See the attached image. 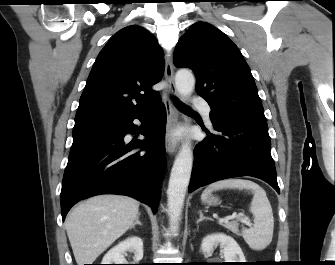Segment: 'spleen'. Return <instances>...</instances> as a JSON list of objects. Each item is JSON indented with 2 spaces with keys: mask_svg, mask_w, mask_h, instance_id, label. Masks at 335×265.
Listing matches in <instances>:
<instances>
[{
  "mask_svg": "<svg viewBox=\"0 0 335 265\" xmlns=\"http://www.w3.org/2000/svg\"><path fill=\"white\" fill-rule=\"evenodd\" d=\"M224 188L246 189L253 192L250 212L254 216V224L250 228H243L242 236L251 249H265L272 241L274 218L271 204L264 189L250 180L232 178L209 185L203 191L201 199L206 200L213 191Z\"/></svg>",
  "mask_w": 335,
  "mask_h": 265,
  "instance_id": "3e777b00",
  "label": "spleen"
}]
</instances>
